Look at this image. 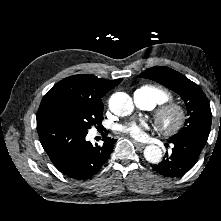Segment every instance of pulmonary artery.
<instances>
[{
  "mask_svg": "<svg viewBox=\"0 0 221 221\" xmlns=\"http://www.w3.org/2000/svg\"><path fill=\"white\" fill-rule=\"evenodd\" d=\"M134 103L143 109H152L154 107L153 97L151 93L144 89H137L133 94Z\"/></svg>",
  "mask_w": 221,
  "mask_h": 221,
  "instance_id": "1",
  "label": "pulmonary artery"
}]
</instances>
